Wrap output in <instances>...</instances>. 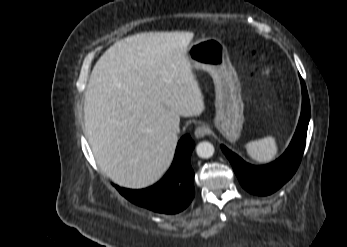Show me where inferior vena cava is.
<instances>
[{
  "instance_id": "inferior-vena-cava-1",
  "label": "inferior vena cava",
  "mask_w": 347,
  "mask_h": 247,
  "mask_svg": "<svg viewBox=\"0 0 347 247\" xmlns=\"http://www.w3.org/2000/svg\"><path fill=\"white\" fill-rule=\"evenodd\" d=\"M170 130H171L172 134H175V135L178 134L180 132L179 125L171 126Z\"/></svg>"
}]
</instances>
